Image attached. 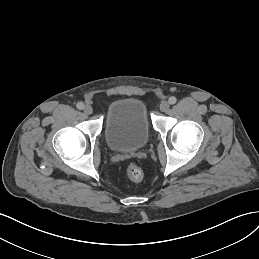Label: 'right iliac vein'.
I'll list each match as a JSON object with an SVG mask.
<instances>
[{
  "label": "right iliac vein",
  "instance_id": "right-iliac-vein-1",
  "mask_svg": "<svg viewBox=\"0 0 259 259\" xmlns=\"http://www.w3.org/2000/svg\"><path fill=\"white\" fill-rule=\"evenodd\" d=\"M83 111L86 115H91L93 113V109L90 105H86L84 108H83Z\"/></svg>",
  "mask_w": 259,
  "mask_h": 259
}]
</instances>
